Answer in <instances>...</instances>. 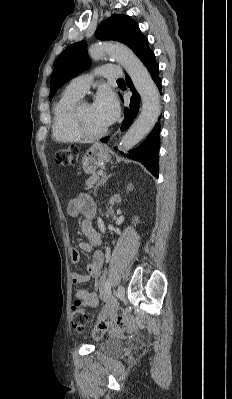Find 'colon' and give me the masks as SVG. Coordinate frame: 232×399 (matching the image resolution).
<instances>
[{
  "label": "colon",
  "mask_w": 232,
  "mask_h": 399,
  "mask_svg": "<svg viewBox=\"0 0 232 399\" xmlns=\"http://www.w3.org/2000/svg\"><path fill=\"white\" fill-rule=\"evenodd\" d=\"M79 156V151H74L73 145H68V149L56 153V166L76 165ZM81 303H76L75 311L71 313V334H76V325H81V334L85 335L86 330H95L92 333V338H97V335H114V328H104L103 324H130L131 319L128 315L127 308H118L117 313H103V324L95 325L94 322H88L86 317V309H81Z\"/></svg>",
  "instance_id": "5ec220e1"
}]
</instances>
